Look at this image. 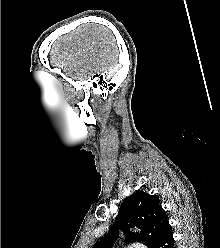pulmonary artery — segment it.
Instances as JSON below:
<instances>
[{"label":"pulmonary artery","instance_id":"obj_1","mask_svg":"<svg viewBox=\"0 0 220 248\" xmlns=\"http://www.w3.org/2000/svg\"><path fill=\"white\" fill-rule=\"evenodd\" d=\"M129 248H145V247L141 244H134V245L130 246Z\"/></svg>","mask_w":220,"mask_h":248}]
</instances>
